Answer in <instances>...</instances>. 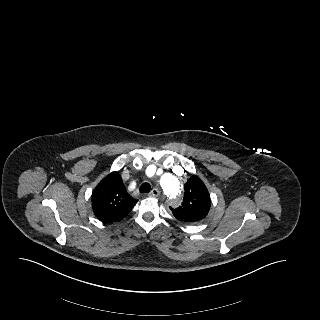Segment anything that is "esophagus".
Instances as JSON below:
<instances>
[{"instance_id":"34e87169","label":"esophagus","mask_w":320,"mask_h":320,"mask_svg":"<svg viewBox=\"0 0 320 320\" xmlns=\"http://www.w3.org/2000/svg\"><path fill=\"white\" fill-rule=\"evenodd\" d=\"M159 195H160V190L158 188H153L149 193V196H152V197H158Z\"/></svg>"}]
</instances>
